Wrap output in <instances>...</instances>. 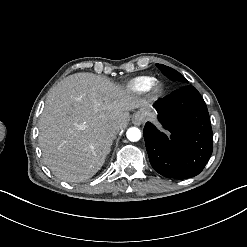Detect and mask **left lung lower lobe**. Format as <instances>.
Instances as JSON below:
<instances>
[{
  "mask_svg": "<svg viewBox=\"0 0 247 247\" xmlns=\"http://www.w3.org/2000/svg\"><path fill=\"white\" fill-rule=\"evenodd\" d=\"M153 107L168 137L152 123L144 127V139L152 167L167 178L187 179L198 175L213 150L207 106L198 90L184 85Z\"/></svg>",
  "mask_w": 247,
  "mask_h": 247,
  "instance_id": "left-lung-lower-lobe-1",
  "label": "left lung lower lobe"
}]
</instances>
